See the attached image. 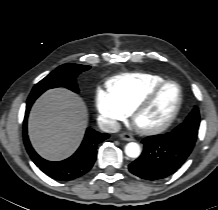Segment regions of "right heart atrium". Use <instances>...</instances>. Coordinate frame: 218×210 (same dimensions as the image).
I'll return each mask as SVG.
<instances>
[{"instance_id": "obj_1", "label": "right heart atrium", "mask_w": 218, "mask_h": 210, "mask_svg": "<svg viewBox=\"0 0 218 210\" xmlns=\"http://www.w3.org/2000/svg\"><path fill=\"white\" fill-rule=\"evenodd\" d=\"M95 103L101 120L109 129H116L128 115V112L111 95L109 91L99 89L96 93Z\"/></svg>"}]
</instances>
